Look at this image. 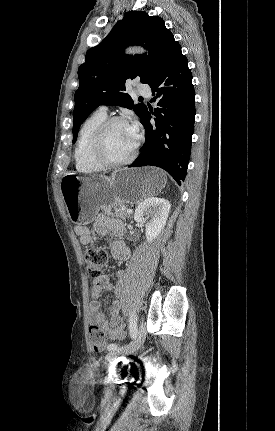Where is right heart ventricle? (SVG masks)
I'll return each mask as SVG.
<instances>
[{"label": "right heart ventricle", "mask_w": 275, "mask_h": 431, "mask_svg": "<svg viewBox=\"0 0 275 431\" xmlns=\"http://www.w3.org/2000/svg\"><path fill=\"white\" fill-rule=\"evenodd\" d=\"M107 118L100 111L91 114L81 125L74 150L75 166L82 173H94L102 170L91 157L90 144L99 125Z\"/></svg>", "instance_id": "e07e8e85"}]
</instances>
